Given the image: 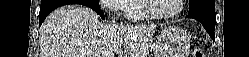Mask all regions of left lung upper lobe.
Segmentation results:
<instances>
[{
  "label": "left lung upper lobe",
  "mask_w": 249,
  "mask_h": 57,
  "mask_svg": "<svg viewBox=\"0 0 249 57\" xmlns=\"http://www.w3.org/2000/svg\"><path fill=\"white\" fill-rule=\"evenodd\" d=\"M190 6H189V12H194L206 7H215V1L214 0H189Z\"/></svg>",
  "instance_id": "left-lung-upper-lobe-1"
}]
</instances>
